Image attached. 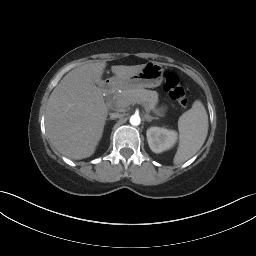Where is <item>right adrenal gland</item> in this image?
Listing matches in <instances>:
<instances>
[{"instance_id": "1", "label": "right adrenal gland", "mask_w": 256, "mask_h": 256, "mask_svg": "<svg viewBox=\"0 0 256 256\" xmlns=\"http://www.w3.org/2000/svg\"><path fill=\"white\" fill-rule=\"evenodd\" d=\"M107 120H112L111 118H108Z\"/></svg>"}]
</instances>
